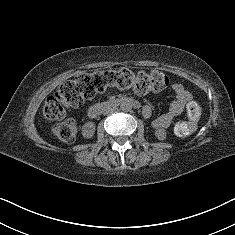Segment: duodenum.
Instances as JSON below:
<instances>
[{"instance_id": "duodenum-1", "label": "duodenum", "mask_w": 235, "mask_h": 235, "mask_svg": "<svg viewBox=\"0 0 235 235\" xmlns=\"http://www.w3.org/2000/svg\"><path fill=\"white\" fill-rule=\"evenodd\" d=\"M124 103L130 104L134 107H139V103L131 98H119V99L112 100L104 104L92 105L88 110V116L91 118H95L103 111V109L107 107L115 106V105H121Z\"/></svg>"}]
</instances>
